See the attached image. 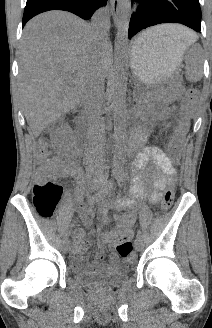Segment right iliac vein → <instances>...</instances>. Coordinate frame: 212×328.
I'll return each mask as SVG.
<instances>
[{"instance_id": "1", "label": "right iliac vein", "mask_w": 212, "mask_h": 328, "mask_svg": "<svg viewBox=\"0 0 212 328\" xmlns=\"http://www.w3.org/2000/svg\"><path fill=\"white\" fill-rule=\"evenodd\" d=\"M88 188L91 191L94 188L93 187V184L92 183H89L88 184ZM70 248H71V246H70L69 241L68 240H65L64 243H63V250H64V252L65 253H68L70 251Z\"/></svg>"}]
</instances>
